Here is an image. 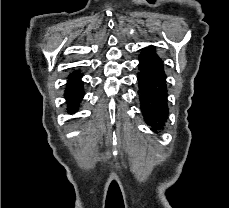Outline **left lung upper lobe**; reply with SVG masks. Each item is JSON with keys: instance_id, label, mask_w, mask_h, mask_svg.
<instances>
[{"instance_id": "obj_1", "label": "left lung upper lobe", "mask_w": 229, "mask_h": 208, "mask_svg": "<svg viewBox=\"0 0 229 208\" xmlns=\"http://www.w3.org/2000/svg\"><path fill=\"white\" fill-rule=\"evenodd\" d=\"M139 60L146 61L152 67L155 74L163 79H166V75L163 70V61L155 54V47L150 46L145 51L141 52Z\"/></svg>"}]
</instances>
